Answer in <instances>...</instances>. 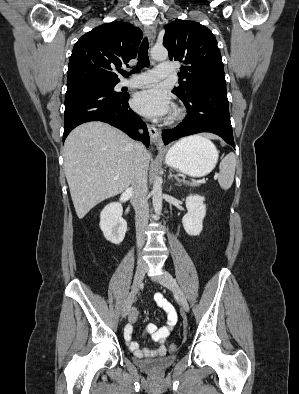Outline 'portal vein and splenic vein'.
<instances>
[{
  "label": "portal vein and splenic vein",
  "mask_w": 299,
  "mask_h": 394,
  "mask_svg": "<svg viewBox=\"0 0 299 394\" xmlns=\"http://www.w3.org/2000/svg\"><path fill=\"white\" fill-rule=\"evenodd\" d=\"M217 177H218L217 175L214 176L215 179H216ZM115 179H118V177L116 176ZM182 181H183V182H188V181H185V180H182ZM188 183H191V184H201V183H205V179L192 180L191 182H188Z\"/></svg>",
  "instance_id": "portal-vein-and-splenic-vein-1"
}]
</instances>
